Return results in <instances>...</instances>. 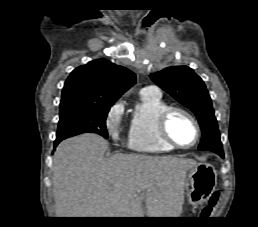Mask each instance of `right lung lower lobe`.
Returning a JSON list of instances; mask_svg holds the SVG:
<instances>
[{
    "instance_id": "1",
    "label": "right lung lower lobe",
    "mask_w": 258,
    "mask_h": 227,
    "mask_svg": "<svg viewBox=\"0 0 258 227\" xmlns=\"http://www.w3.org/2000/svg\"><path fill=\"white\" fill-rule=\"evenodd\" d=\"M62 140L61 139H56L54 143V147H56Z\"/></svg>"
}]
</instances>
